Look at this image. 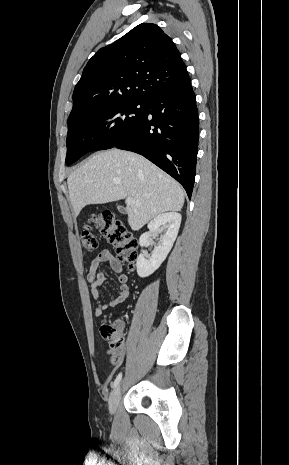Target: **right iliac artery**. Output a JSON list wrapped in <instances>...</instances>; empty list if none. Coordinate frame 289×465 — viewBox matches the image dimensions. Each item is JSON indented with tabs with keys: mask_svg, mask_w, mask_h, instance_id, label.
<instances>
[{
	"mask_svg": "<svg viewBox=\"0 0 289 465\" xmlns=\"http://www.w3.org/2000/svg\"><path fill=\"white\" fill-rule=\"evenodd\" d=\"M121 378H122V373H119L116 377V379L114 380L113 384H112V388H115L118 386V384L120 383L121 381Z\"/></svg>",
	"mask_w": 289,
	"mask_h": 465,
	"instance_id": "obj_1",
	"label": "right iliac artery"
}]
</instances>
